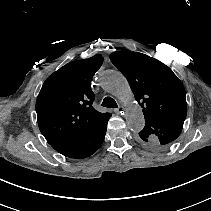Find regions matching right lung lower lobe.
Wrapping results in <instances>:
<instances>
[{"label":"right lung lower lobe","mask_w":211,"mask_h":211,"mask_svg":"<svg viewBox=\"0 0 211 211\" xmlns=\"http://www.w3.org/2000/svg\"><path fill=\"white\" fill-rule=\"evenodd\" d=\"M111 114L102 118L93 128L66 137L50 144L57 152L69 157L82 159L92 155L103 143L107 122Z\"/></svg>","instance_id":"obj_1"}]
</instances>
